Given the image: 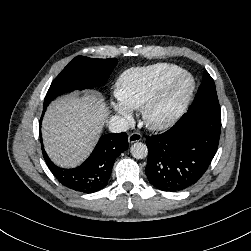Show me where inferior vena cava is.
Masks as SVG:
<instances>
[{"label": "inferior vena cava", "mask_w": 251, "mask_h": 251, "mask_svg": "<svg viewBox=\"0 0 251 251\" xmlns=\"http://www.w3.org/2000/svg\"><path fill=\"white\" fill-rule=\"evenodd\" d=\"M109 129L113 133L125 132L129 129V124L125 118L115 115L109 120Z\"/></svg>", "instance_id": "obj_1"}]
</instances>
